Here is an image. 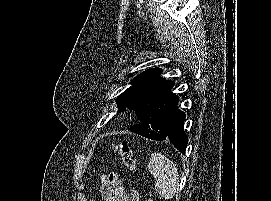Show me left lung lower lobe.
Segmentation results:
<instances>
[{"label":"left lung lower lobe","instance_id":"1","mask_svg":"<svg viewBox=\"0 0 271 201\" xmlns=\"http://www.w3.org/2000/svg\"><path fill=\"white\" fill-rule=\"evenodd\" d=\"M179 100V99H178ZM178 102V101H177ZM185 113L178 109L177 103L172 114L168 131L160 140L170 141L181 153H185L188 138L184 132ZM130 130L140 135L141 128L137 125L131 126Z\"/></svg>","mask_w":271,"mask_h":201}]
</instances>
